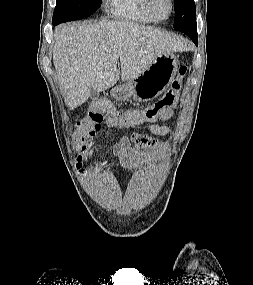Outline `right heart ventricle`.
Returning a JSON list of instances; mask_svg holds the SVG:
<instances>
[{
    "instance_id": "obj_1",
    "label": "right heart ventricle",
    "mask_w": 253,
    "mask_h": 285,
    "mask_svg": "<svg viewBox=\"0 0 253 285\" xmlns=\"http://www.w3.org/2000/svg\"><path fill=\"white\" fill-rule=\"evenodd\" d=\"M109 8L114 16L125 21L143 24L153 22L144 10L143 0H110Z\"/></svg>"
}]
</instances>
